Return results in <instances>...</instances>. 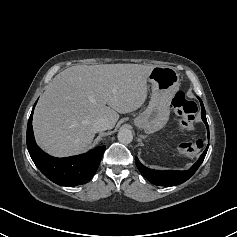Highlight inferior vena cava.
I'll return each mask as SVG.
<instances>
[{
	"mask_svg": "<svg viewBox=\"0 0 237 237\" xmlns=\"http://www.w3.org/2000/svg\"><path fill=\"white\" fill-rule=\"evenodd\" d=\"M93 128L98 132L107 130L110 128L109 120L104 117L97 118L93 122Z\"/></svg>",
	"mask_w": 237,
	"mask_h": 237,
	"instance_id": "obj_1",
	"label": "inferior vena cava"
}]
</instances>
